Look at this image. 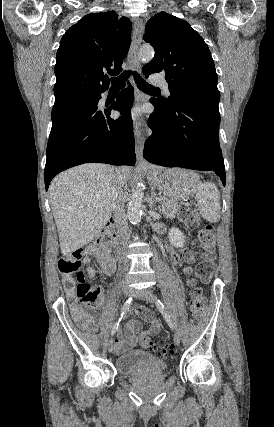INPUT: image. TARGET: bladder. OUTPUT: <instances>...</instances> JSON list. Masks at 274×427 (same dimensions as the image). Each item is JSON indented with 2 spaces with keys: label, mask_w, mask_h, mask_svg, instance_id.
Listing matches in <instances>:
<instances>
[{
  "label": "bladder",
  "mask_w": 274,
  "mask_h": 427,
  "mask_svg": "<svg viewBox=\"0 0 274 427\" xmlns=\"http://www.w3.org/2000/svg\"><path fill=\"white\" fill-rule=\"evenodd\" d=\"M116 369L123 375L153 374L165 376L168 365L166 360L154 357L151 353L140 349L116 356Z\"/></svg>",
  "instance_id": "31cf9c89"
}]
</instances>
